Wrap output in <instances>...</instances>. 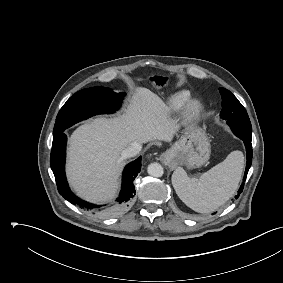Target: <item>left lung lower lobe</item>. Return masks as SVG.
Listing matches in <instances>:
<instances>
[{
    "instance_id": "left-lung-lower-lobe-1",
    "label": "left lung lower lobe",
    "mask_w": 283,
    "mask_h": 283,
    "mask_svg": "<svg viewBox=\"0 0 283 283\" xmlns=\"http://www.w3.org/2000/svg\"><path fill=\"white\" fill-rule=\"evenodd\" d=\"M251 134H252V130H245V132H242L239 135V138L241 140H243L245 147H246V153H247V163H246V169H245V173H244V181L246 179L247 173L251 167V163H252V144H251ZM244 188V183L241 184L239 190H238V194L235 196V198L239 197V194L242 192Z\"/></svg>"
}]
</instances>
